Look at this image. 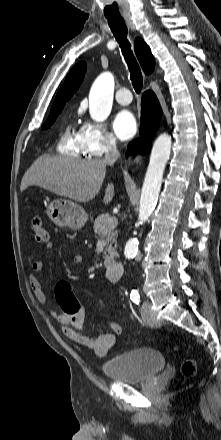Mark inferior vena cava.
Wrapping results in <instances>:
<instances>
[{
  "instance_id": "602c4592",
  "label": "inferior vena cava",
  "mask_w": 221,
  "mask_h": 440,
  "mask_svg": "<svg viewBox=\"0 0 221 440\" xmlns=\"http://www.w3.org/2000/svg\"><path fill=\"white\" fill-rule=\"evenodd\" d=\"M120 157V152L117 149L116 143L109 141L105 153V162L112 165Z\"/></svg>"
}]
</instances>
